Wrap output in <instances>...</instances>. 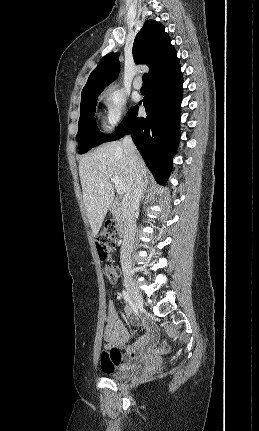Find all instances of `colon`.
Returning a JSON list of instances; mask_svg holds the SVG:
<instances>
[{"instance_id":"1","label":"colon","mask_w":259,"mask_h":431,"mask_svg":"<svg viewBox=\"0 0 259 431\" xmlns=\"http://www.w3.org/2000/svg\"><path fill=\"white\" fill-rule=\"evenodd\" d=\"M119 240L118 229L113 222H106L96 238V248L100 260H107L114 252ZM107 281L111 284L117 282L119 269L114 265H105L103 268Z\"/></svg>"}]
</instances>
